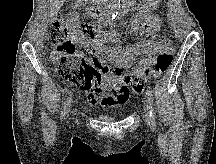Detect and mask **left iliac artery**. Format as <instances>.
<instances>
[{
    "label": "left iliac artery",
    "mask_w": 216,
    "mask_h": 164,
    "mask_svg": "<svg viewBox=\"0 0 216 164\" xmlns=\"http://www.w3.org/2000/svg\"><path fill=\"white\" fill-rule=\"evenodd\" d=\"M146 95L148 96V104H149V107H150V116L152 117V128L155 129L156 122H155L153 94H152V92L150 90H147Z\"/></svg>",
    "instance_id": "44dca946"
}]
</instances>
